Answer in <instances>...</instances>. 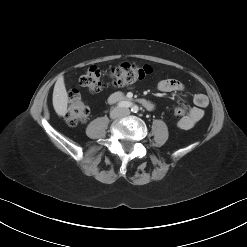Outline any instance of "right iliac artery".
<instances>
[{
    "mask_svg": "<svg viewBox=\"0 0 247 247\" xmlns=\"http://www.w3.org/2000/svg\"><path fill=\"white\" fill-rule=\"evenodd\" d=\"M119 107H125V108H129L132 107V103L128 102V101H121L118 103Z\"/></svg>",
    "mask_w": 247,
    "mask_h": 247,
    "instance_id": "1",
    "label": "right iliac artery"
}]
</instances>
